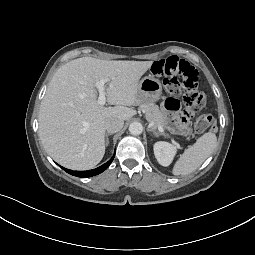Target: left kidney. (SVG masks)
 Returning <instances> with one entry per match:
<instances>
[{
    "mask_svg": "<svg viewBox=\"0 0 255 255\" xmlns=\"http://www.w3.org/2000/svg\"><path fill=\"white\" fill-rule=\"evenodd\" d=\"M178 148V145H172L168 142H156L154 144V154L159 164L162 166H169Z\"/></svg>",
    "mask_w": 255,
    "mask_h": 255,
    "instance_id": "1",
    "label": "left kidney"
}]
</instances>
